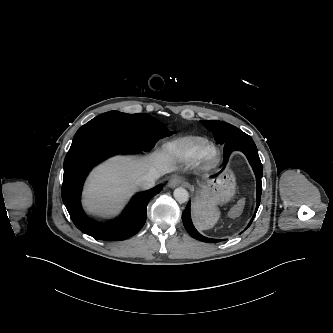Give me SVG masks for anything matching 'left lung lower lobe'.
Returning a JSON list of instances; mask_svg holds the SVG:
<instances>
[{
	"mask_svg": "<svg viewBox=\"0 0 333 333\" xmlns=\"http://www.w3.org/2000/svg\"><path fill=\"white\" fill-rule=\"evenodd\" d=\"M234 150L242 151L246 155L250 165L252 166V168L254 170L256 180H257V206H256V211H255V214H256V212L259 208V205H260L261 191H262V181H261L262 164H261L258 152H257L256 145L250 136L245 134L243 131L239 130L236 134H234L230 138V140H228L224 144V162L221 167V170L218 173H216L215 175H213V177H217L219 175V173L222 172V170L226 166L230 153ZM255 214H254L253 218L255 217ZM253 218L251 219L250 223L248 224V227L252 223ZM182 221H183L185 229L187 230L189 235L192 236L193 238L203 241V242H209V243H212V242L216 243V242L222 241L220 239L207 238V237L201 235L195 229V227L192 224L191 217H190V202L187 204L185 210L182 213Z\"/></svg>",
	"mask_w": 333,
	"mask_h": 333,
	"instance_id": "left-lung-lower-lobe-1",
	"label": "left lung lower lobe"
}]
</instances>
